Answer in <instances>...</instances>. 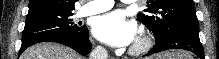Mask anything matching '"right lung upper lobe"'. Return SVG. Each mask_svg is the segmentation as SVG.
Listing matches in <instances>:
<instances>
[{"instance_id":"cb5924a9","label":"right lung upper lobe","mask_w":219,"mask_h":59,"mask_svg":"<svg viewBox=\"0 0 219 59\" xmlns=\"http://www.w3.org/2000/svg\"><path fill=\"white\" fill-rule=\"evenodd\" d=\"M75 0H30L28 13L37 10H57L71 12L75 9Z\"/></svg>"}]
</instances>
